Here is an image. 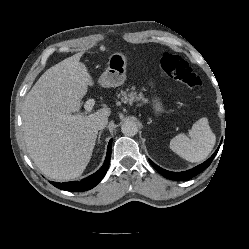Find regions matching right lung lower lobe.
I'll list each match as a JSON object with an SVG mask.
<instances>
[{
  "instance_id": "1",
  "label": "right lung lower lobe",
  "mask_w": 249,
  "mask_h": 249,
  "mask_svg": "<svg viewBox=\"0 0 249 249\" xmlns=\"http://www.w3.org/2000/svg\"><path fill=\"white\" fill-rule=\"evenodd\" d=\"M111 144L112 140H110L108 147H107V155L103 166L94 174L90 175L87 178L82 179L81 181H72V182H64V183H57L52 182L55 187L60 188L61 190L65 191H74V192H81L92 189L95 187L104 177L107 172L110 158H111Z\"/></svg>"
}]
</instances>
